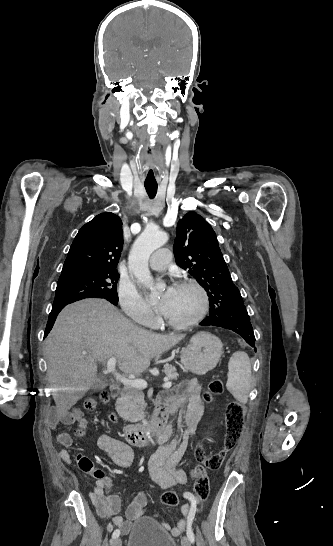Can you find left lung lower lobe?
Listing matches in <instances>:
<instances>
[{
	"label": "left lung lower lobe",
	"mask_w": 333,
	"mask_h": 546,
	"mask_svg": "<svg viewBox=\"0 0 333 546\" xmlns=\"http://www.w3.org/2000/svg\"><path fill=\"white\" fill-rule=\"evenodd\" d=\"M200 325H212L232 330L241 335L249 345L255 346V336L246 309L236 311L231 316L226 317L209 316Z\"/></svg>",
	"instance_id": "obj_1"
}]
</instances>
